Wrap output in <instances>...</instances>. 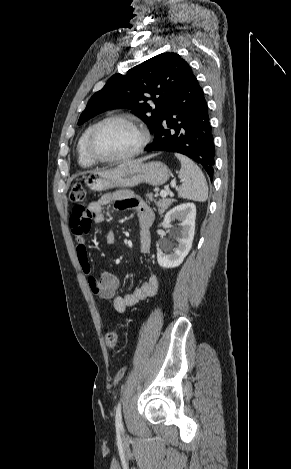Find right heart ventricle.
<instances>
[{"instance_id":"right-heart-ventricle-1","label":"right heart ventricle","mask_w":291,"mask_h":469,"mask_svg":"<svg viewBox=\"0 0 291 469\" xmlns=\"http://www.w3.org/2000/svg\"><path fill=\"white\" fill-rule=\"evenodd\" d=\"M95 124H91L89 125L84 131L83 133L81 134L78 142H77V156H78V162L80 164V166L84 167V168H90V167H93L94 165H96V161H94L87 153V150H86V142H87V138H88V135H89V132L91 131L92 127L94 126Z\"/></svg>"}]
</instances>
